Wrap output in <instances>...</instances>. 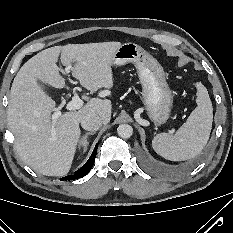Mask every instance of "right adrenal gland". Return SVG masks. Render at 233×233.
I'll use <instances>...</instances> for the list:
<instances>
[{
	"label": "right adrenal gland",
	"mask_w": 233,
	"mask_h": 233,
	"mask_svg": "<svg viewBox=\"0 0 233 233\" xmlns=\"http://www.w3.org/2000/svg\"><path fill=\"white\" fill-rule=\"evenodd\" d=\"M93 134H94V132H87V133H85V135L79 140L78 146H79V148H80V146L83 145V153L87 150V147H88V145H89V142L87 141V137H88L89 135H93Z\"/></svg>",
	"instance_id": "right-adrenal-gland-1"
}]
</instances>
